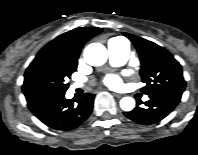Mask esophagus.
<instances>
[{"label":"esophagus","mask_w":198,"mask_h":155,"mask_svg":"<svg viewBox=\"0 0 198 155\" xmlns=\"http://www.w3.org/2000/svg\"><path fill=\"white\" fill-rule=\"evenodd\" d=\"M113 95H114L116 98H121V97H123V94L113 93Z\"/></svg>","instance_id":"esophagus-1"}]
</instances>
